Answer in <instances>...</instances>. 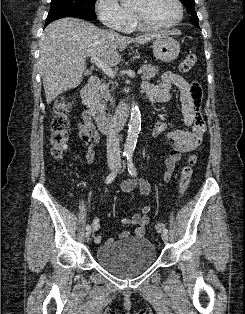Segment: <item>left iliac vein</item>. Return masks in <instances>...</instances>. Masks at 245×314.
I'll return each mask as SVG.
<instances>
[{"instance_id":"left-iliac-vein-1","label":"left iliac vein","mask_w":245,"mask_h":314,"mask_svg":"<svg viewBox=\"0 0 245 314\" xmlns=\"http://www.w3.org/2000/svg\"><path fill=\"white\" fill-rule=\"evenodd\" d=\"M120 170H121V169H120ZM161 237H162V240H163L165 243L168 241V234H167V233L163 232L162 235H161Z\"/></svg>"}]
</instances>
